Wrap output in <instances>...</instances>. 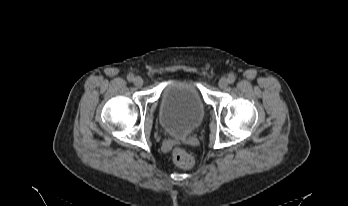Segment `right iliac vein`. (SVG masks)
I'll return each mask as SVG.
<instances>
[{"label":"right iliac vein","mask_w":348,"mask_h":206,"mask_svg":"<svg viewBox=\"0 0 348 206\" xmlns=\"http://www.w3.org/2000/svg\"><path fill=\"white\" fill-rule=\"evenodd\" d=\"M133 82L136 87H141L143 85V79L140 76L135 77Z\"/></svg>","instance_id":"right-iliac-vein-1"}]
</instances>
